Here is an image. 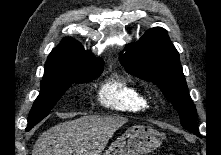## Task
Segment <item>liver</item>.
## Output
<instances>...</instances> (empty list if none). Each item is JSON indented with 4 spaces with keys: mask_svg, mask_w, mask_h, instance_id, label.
I'll return each instance as SVG.
<instances>
[{
    "mask_svg": "<svg viewBox=\"0 0 221 155\" xmlns=\"http://www.w3.org/2000/svg\"><path fill=\"white\" fill-rule=\"evenodd\" d=\"M121 116H83L59 123L42 133L32 155H101L113 134L125 123Z\"/></svg>",
    "mask_w": 221,
    "mask_h": 155,
    "instance_id": "liver-1",
    "label": "liver"
}]
</instances>
